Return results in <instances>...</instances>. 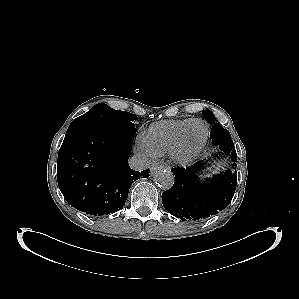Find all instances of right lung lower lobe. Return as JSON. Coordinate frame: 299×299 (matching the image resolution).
<instances>
[{"mask_svg":"<svg viewBox=\"0 0 299 299\" xmlns=\"http://www.w3.org/2000/svg\"><path fill=\"white\" fill-rule=\"evenodd\" d=\"M136 128L68 131L59 150L57 180L65 200L93 216L123 208L131 184L149 176L128 165Z\"/></svg>","mask_w":299,"mask_h":299,"instance_id":"98d812e1","label":"right lung lower lobe"}]
</instances>
